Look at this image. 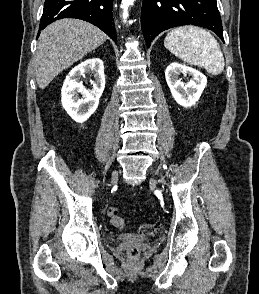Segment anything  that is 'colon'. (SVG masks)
Listing matches in <instances>:
<instances>
[{
    "instance_id": "1",
    "label": "colon",
    "mask_w": 259,
    "mask_h": 294,
    "mask_svg": "<svg viewBox=\"0 0 259 294\" xmlns=\"http://www.w3.org/2000/svg\"><path fill=\"white\" fill-rule=\"evenodd\" d=\"M107 215L111 221V223L116 227V228H124L125 227V221L123 218L120 217L119 215V210L117 207H109L107 209ZM158 230V227L155 224L151 223H146L142 224L138 228V233L141 236H152L156 234ZM129 255L131 257H136L139 253L138 249L136 247H132L128 251Z\"/></svg>"
}]
</instances>
